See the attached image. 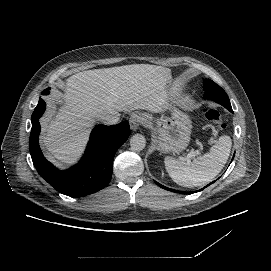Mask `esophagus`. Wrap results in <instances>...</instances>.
<instances>
[{
  "instance_id": "1",
  "label": "esophagus",
  "mask_w": 271,
  "mask_h": 271,
  "mask_svg": "<svg viewBox=\"0 0 271 271\" xmlns=\"http://www.w3.org/2000/svg\"><path fill=\"white\" fill-rule=\"evenodd\" d=\"M143 121V115L140 113H132L130 115V128L132 131H137L140 127V123Z\"/></svg>"
}]
</instances>
